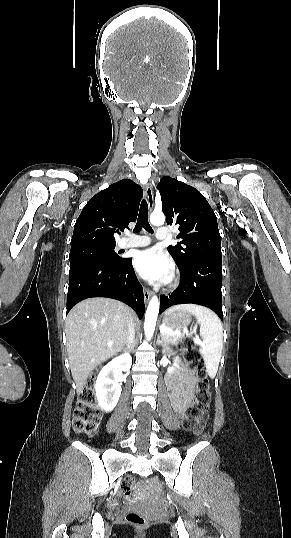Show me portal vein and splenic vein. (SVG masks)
I'll use <instances>...</instances> for the list:
<instances>
[{
  "label": "portal vein and splenic vein",
  "instance_id": "portal-vein-and-splenic-vein-1",
  "mask_svg": "<svg viewBox=\"0 0 291 538\" xmlns=\"http://www.w3.org/2000/svg\"><path fill=\"white\" fill-rule=\"evenodd\" d=\"M161 332H167V333H170V334H178V335L181 334V332H179V331H175V332H174V331H171V330L166 329L165 327H162V328H161ZM194 342H195L196 344H198V345H202V342H201V340L199 339V337H194Z\"/></svg>",
  "mask_w": 291,
  "mask_h": 538
}]
</instances>
